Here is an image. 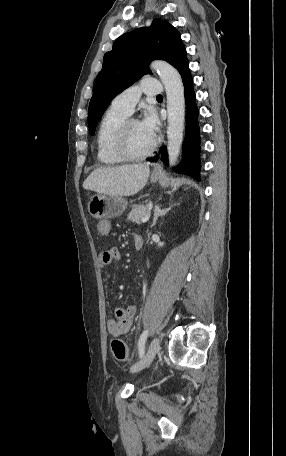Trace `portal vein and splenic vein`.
Returning <instances> with one entry per match:
<instances>
[{
  "mask_svg": "<svg viewBox=\"0 0 286 456\" xmlns=\"http://www.w3.org/2000/svg\"><path fill=\"white\" fill-rule=\"evenodd\" d=\"M150 216H151V213H150V211H148V213L145 215V217L141 219V222L142 223L147 222L149 220Z\"/></svg>",
  "mask_w": 286,
  "mask_h": 456,
  "instance_id": "1",
  "label": "portal vein and splenic vein"
}]
</instances>
